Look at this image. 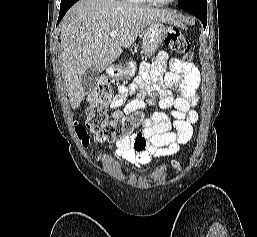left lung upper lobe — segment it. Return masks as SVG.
Masks as SVG:
<instances>
[{"label":"left lung upper lobe","instance_id":"1","mask_svg":"<svg viewBox=\"0 0 257 237\" xmlns=\"http://www.w3.org/2000/svg\"><path fill=\"white\" fill-rule=\"evenodd\" d=\"M179 8L196 7V8H207V0H179Z\"/></svg>","mask_w":257,"mask_h":237}]
</instances>
